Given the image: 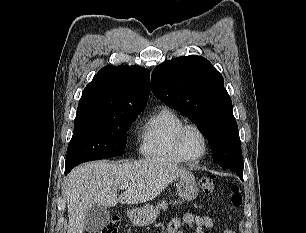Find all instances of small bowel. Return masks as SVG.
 <instances>
[{
    "label": "small bowel",
    "mask_w": 306,
    "mask_h": 233,
    "mask_svg": "<svg viewBox=\"0 0 306 233\" xmlns=\"http://www.w3.org/2000/svg\"><path fill=\"white\" fill-rule=\"evenodd\" d=\"M213 219L210 216H198L193 213H185L181 218H174L169 222L164 233H187L194 230V233H204L205 228L213 227ZM223 233H234L225 229Z\"/></svg>",
    "instance_id": "c3829d8e"
}]
</instances>
